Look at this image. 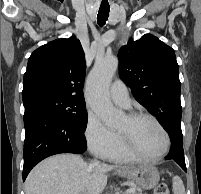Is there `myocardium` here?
<instances>
[{
	"label": "myocardium",
	"instance_id": "myocardium-1",
	"mask_svg": "<svg viewBox=\"0 0 201 194\" xmlns=\"http://www.w3.org/2000/svg\"><path fill=\"white\" fill-rule=\"evenodd\" d=\"M127 118L130 121H136V120H139V119H149V120H151L161 130V132L163 133L164 138H165V147H164V149L158 155L148 156V155H144V154L140 153L139 151H137L134 148L129 136L126 133H124L122 131H119V135L121 137L123 146H124L125 150L131 156H133L136 159H140V160H144V161H157V160L162 159L163 157H165L168 154V152L170 151V148H171L170 134H169L168 130L165 128V126L155 116H153V115H151L149 113H145V112H135V113L129 114L127 116Z\"/></svg>",
	"mask_w": 201,
	"mask_h": 194
}]
</instances>
